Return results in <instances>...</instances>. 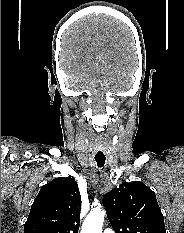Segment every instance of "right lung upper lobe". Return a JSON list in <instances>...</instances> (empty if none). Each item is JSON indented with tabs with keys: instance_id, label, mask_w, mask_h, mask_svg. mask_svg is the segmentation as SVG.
Here are the masks:
<instances>
[{
	"instance_id": "right-lung-upper-lobe-1",
	"label": "right lung upper lobe",
	"mask_w": 184,
	"mask_h": 233,
	"mask_svg": "<svg viewBox=\"0 0 184 233\" xmlns=\"http://www.w3.org/2000/svg\"><path fill=\"white\" fill-rule=\"evenodd\" d=\"M81 195L72 177L44 185L35 198L24 233H78Z\"/></svg>"
}]
</instances>
